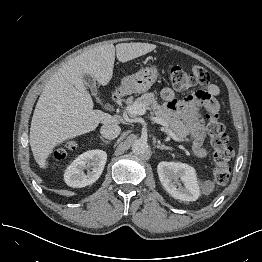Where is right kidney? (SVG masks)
Listing matches in <instances>:
<instances>
[{
  "label": "right kidney",
  "instance_id": "ca27d5eb",
  "mask_svg": "<svg viewBox=\"0 0 262 262\" xmlns=\"http://www.w3.org/2000/svg\"><path fill=\"white\" fill-rule=\"evenodd\" d=\"M107 154L103 150H89L78 156L66 169L65 183L70 187L82 188L93 184L100 177L106 164ZM88 172L85 174V169Z\"/></svg>",
  "mask_w": 262,
  "mask_h": 262
}]
</instances>
